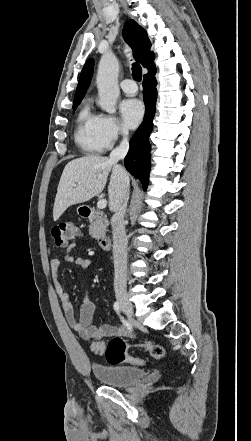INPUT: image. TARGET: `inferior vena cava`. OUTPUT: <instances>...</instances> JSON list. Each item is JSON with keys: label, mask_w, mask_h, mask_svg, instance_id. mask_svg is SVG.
I'll return each mask as SVG.
<instances>
[{"label": "inferior vena cava", "mask_w": 251, "mask_h": 441, "mask_svg": "<svg viewBox=\"0 0 251 441\" xmlns=\"http://www.w3.org/2000/svg\"><path fill=\"white\" fill-rule=\"evenodd\" d=\"M123 139L118 147L110 153V161L117 162L124 159L129 149L128 131L123 130ZM124 192L121 195L118 206L114 209L111 219L113 234V259H114V290L116 294L126 293V269H127V243L124 216L129 198V177L123 173Z\"/></svg>", "instance_id": "602c4592"}]
</instances>
